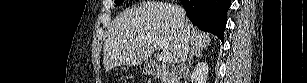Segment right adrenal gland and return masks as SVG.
I'll use <instances>...</instances> for the list:
<instances>
[{
  "instance_id": "right-adrenal-gland-1",
  "label": "right adrenal gland",
  "mask_w": 307,
  "mask_h": 83,
  "mask_svg": "<svg viewBox=\"0 0 307 83\" xmlns=\"http://www.w3.org/2000/svg\"><path fill=\"white\" fill-rule=\"evenodd\" d=\"M202 51H203V49L202 48H192L191 50H190V56H189V66H190V64H191V60L194 58V57H201V56H203V54H202Z\"/></svg>"
}]
</instances>
